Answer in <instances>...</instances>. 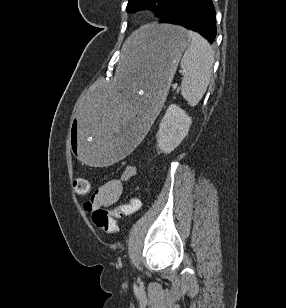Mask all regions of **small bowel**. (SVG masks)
Here are the masks:
<instances>
[{
  "label": "small bowel",
  "instance_id": "small-bowel-1",
  "mask_svg": "<svg viewBox=\"0 0 286 308\" xmlns=\"http://www.w3.org/2000/svg\"><path fill=\"white\" fill-rule=\"evenodd\" d=\"M135 174V167L128 166L124 169L120 177L106 180L100 184L92 191L84 203V210L89 213L101 207L109 208L114 206L123 193L124 183Z\"/></svg>",
  "mask_w": 286,
  "mask_h": 308
}]
</instances>
